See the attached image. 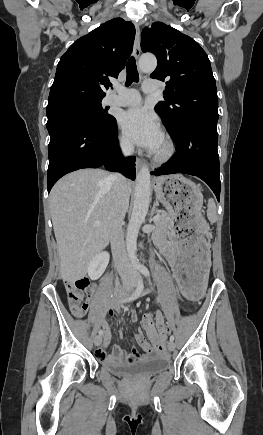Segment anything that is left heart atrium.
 <instances>
[{"label":"left heart atrium","mask_w":263,"mask_h":435,"mask_svg":"<svg viewBox=\"0 0 263 435\" xmlns=\"http://www.w3.org/2000/svg\"><path fill=\"white\" fill-rule=\"evenodd\" d=\"M121 128L134 144L155 152L163 142V133L156 117L147 110L135 107L120 118Z\"/></svg>","instance_id":"39dd6f15"}]
</instances>
